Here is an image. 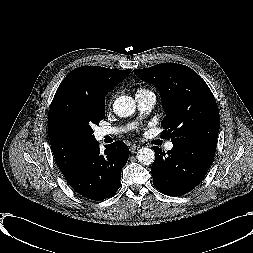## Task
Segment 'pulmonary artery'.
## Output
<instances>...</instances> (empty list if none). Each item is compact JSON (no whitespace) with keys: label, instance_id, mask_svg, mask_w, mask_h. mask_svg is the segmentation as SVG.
Here are the masks:
<instances>
[{"label":"pulmonary artery","instance_id":"obj_1","mask_svg":"<svg viewBox=\"0 0 253 253\" xmlns=\"http://www.w3.org/2000/svg\"><path fill=\"white\" fill-rule=\"evenodd\" d=\"M136 101L138 103V109L141 113V115H148L151 113V111L154 108L155 102H156V96L152 92H147V93H137L135 95ZM128 127H103L100 129L99 134L100 137L108 136V135H115L122 133L126 131ZM173 148V143L172 142H167L165 144V149L166 150H171Z\"/></svg>","mask_w":253,"mask_h":253}]
</instances>
